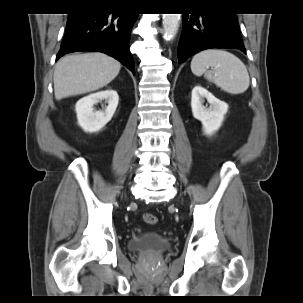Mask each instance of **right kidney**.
<instances>
[{
    "label": "right kidney",
    "mask_w": 303,
    "mask_h": 303,
    "mask_svg": "<svg viewBox=\"0 0 303 303\" xmlns=\"http://www.w3.org/2000/svg\"><path fill=\"white\" fill-rule=\"evenodd\" d=\"M105 100L108 106L96 111L94 105ZM119 96L113 89H107L81 98L75 105L78 125L89 133L100 131L113 117L118 106Z\"/></svg>",
    "instance_id": "right-kidney-1"
}]
</instances>
